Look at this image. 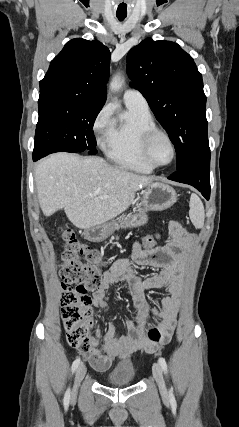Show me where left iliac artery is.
I'll use <instances>...</instances> for the list:
<instances>
[{"instance_id":"left-iliac-artery-1","label":"left iliac artery","mask_w":239,"mask_h":427,"mask_svg":"<svg viewBox=\"0 0 239 427\" xmlns=\"http://www.w3.org/2000/svg\"><path fill=\"white\" fill-rule=\"evenodd\" d=\"M158 361H159V364H160L161 368L163 369V371L165 373H167V363H166L165 359L162 358V357H160ZM169 397H170L171 402L175 403V398H174V394H173V389L172 388L169 389Z\"/></svg>"}]
</instances>
